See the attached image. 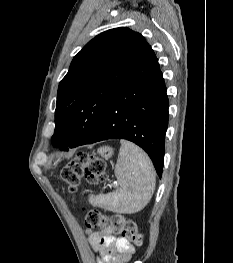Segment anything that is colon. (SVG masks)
Returning a JSON list of instances; mask_svg holds the SVG:
<instances>
[{
	"label": "colon",
	"mask_w": 233,
	"mask_h": 263,
	"mask_svg": "<svg viewBox=\"0 0 233 263\" xmlns=\"http://www.w3.org/2000/svg\"><path fill=\"white\" fill-rule=\"evenodd\" d=\"M105 163L94 154L85 152L78 153L62 170L61 177L70 192H75L80 185L81 179L85 178L91 183L104 180ZM85 223L90 228L110 226L117 233L133 244L140 246L143 235L138 232L133 221L116 214L107 216L94 208L85 209Z\"/></svg>",
	"instance_id": "5ec220e1"
}]
</instances>
